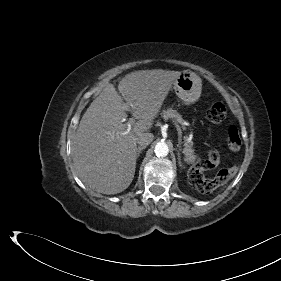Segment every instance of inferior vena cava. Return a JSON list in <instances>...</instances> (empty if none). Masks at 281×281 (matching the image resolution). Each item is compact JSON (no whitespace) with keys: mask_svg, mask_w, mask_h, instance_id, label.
Returning a JSON list of instances; mask_svg holds the SVG:
<instances>
[{"mask_svg":"<svg viewBox=\"0 0 281 281\" xmlns=\"http://www.w3.org/2000/svg\"><path fill=\"white\" fill-rule=\"evenodd\" d=\"M154 139V136L152 133L149 132H144L140 133L137 137V143L139 144L140 147H146L149 145Z\"/></svg>","mask_w":281,"mask_h":281,"instance_id":"602c4592","label":"inferior vena cava"}]
</instances>
